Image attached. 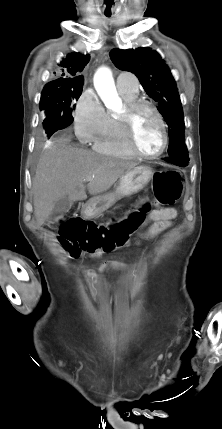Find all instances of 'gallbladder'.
<instances>
[{"label":"gallbladder","mask_w":222,"mask_h":429,"mask_svg":"<svg viewBox=\"0 0 222 429\" xmlns=\"http://www.w3.org/2000/svg\"><path fill=\"white\" fill-rule=\"evenodd\" d=\"M73 201L68 197L64 196L59 201H57L52 209V212L49 216V221L54 222L58 218L65 215L73 205Z\"/></svg>","instance_id":"1"}]
</instances>
